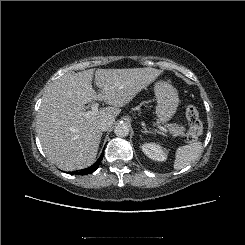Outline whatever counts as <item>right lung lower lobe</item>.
Listing matches in <instances>:
<instances>
[{
	"label": "right lung lower lobe",
	"mask_w": 245,
	"mask_h": 245,
	"mask_svg": "<svg viewBox=\"0 0 245 245\" xmlns=\"http://www.w3.org/2000/svg\"><path fill=\"white\" fill-rule=\"evenodd\" d=\"M103 154H104V152H102V154L99 157V159L91 167H89L87 169H83V170H81L79 172H74L73 174L85 175V174H90V173L94 172L99 167V164H100V162H101V160L103 158Z\"/></svg>",
	"instance_id": "98d812e1"
}]
</instances>
